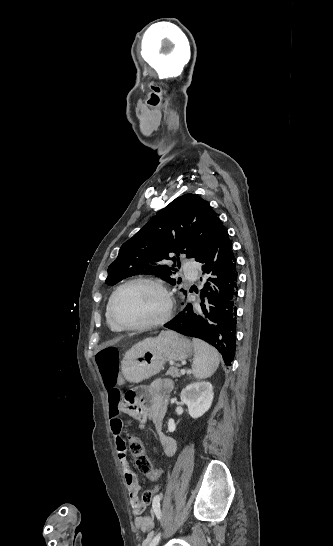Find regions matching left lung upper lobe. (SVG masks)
<instances>
[{"label":"left lung upper lobe","instance_id":"1","mask_svg":"<svg viewBox=\"0 0 333 546\" xmlns=\"http://www.w3.org/2000/svg\"><path fill=\"white\" fill-rule=\"evenodd\" d=\"M219 218L209 203L197 195L185 194L160 210L141 230L125 242L108 267L106 284L115 285L136 274H155L172 285L178 269L168 260L186 254L195 260L207 247Z\"/></svg>","mask_w":333,"mask_h":546}]
</instances>
